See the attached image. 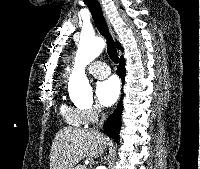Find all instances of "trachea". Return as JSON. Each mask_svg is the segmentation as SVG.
Masks as SVG:
<instances>
[{"label":"trachea","mask_w":200,"mask_h":169,"mask_svg":"<svg viewBox=\"0 0 200 169\" xmlns=\"http://www.w3.org/2000/svg\"><path fill=\"white\" fill-rule=\"evenodd\" d=\"M83 2L89 7L94 23L98 31L106 39L107 53L110 59L115 63H119V56L117 53V49L115 47L113 38L108 31L107 24L102 13V9L98 1L97 0H83Z\"/></svg>","instance_id":"3493384b"}]
</instances>
